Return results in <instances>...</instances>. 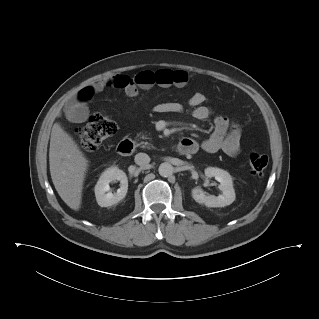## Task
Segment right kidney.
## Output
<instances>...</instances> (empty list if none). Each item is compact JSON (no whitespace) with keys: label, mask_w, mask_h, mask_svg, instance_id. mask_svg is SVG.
Instances as JSON below:
<instances>
[{"label":"right kidney","mask_w":319,"mask_h":319,"mask_svg":"<svg viewBox=\"0 0 319 319\" xmlns=\"http://www.w3.org/2000/svg\"><path fill=\"white\" fill-rule=\"evenodd\" d=\"M115 180L120 181V188L116 193L109 192V183ZM127 190L128 179L125 172L120 170L118 167H109L101 174L95 186V196L97 203L101 207L112 206L126 196Z\"/></svg>","instance_id":"ca27d5eb"}]
</instances>
